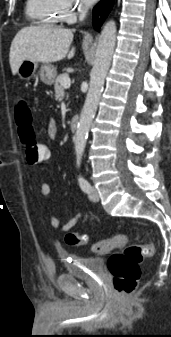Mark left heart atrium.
Segmentation results:
<instances>
[{
  "label": "left heart atrium",
  "instance_id": "obj_1",
  "mask_svg": "<svg viewBox=\"0 0 171 337\" xmlns=\"http://www.w3.org/2000/svg\"><path fill=\"white\" fill-rule=\"evenodd\" d=\"M86 3L94 2L95 0H84Z\"/></svg>",
  "mask_w": 171,
  "mask_h": 337
}]
</instances>
